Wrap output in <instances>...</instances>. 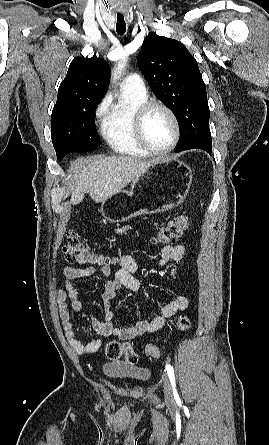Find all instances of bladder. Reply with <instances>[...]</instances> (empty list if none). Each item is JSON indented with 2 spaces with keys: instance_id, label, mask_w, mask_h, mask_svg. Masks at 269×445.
I'll return each instance as SVG.
<instances>
[{
  "instance_id": "31cf9c89",
  "label": "bladder",
  "mask_w": 269,
  "mask_h": 445,
  "mask_svg": "<svg viewBox=\"0 0 269 445\" xmlns=\"http://www.w3.org/2000/svg\"><path fill=\"white\" fill-rule=\"evenodd\" d=\"M101 369L102 373L110 379L145 383L151 377L148 369L132 367L121 361H107L103 363Z\"/></svg>"
}]
</instances>
